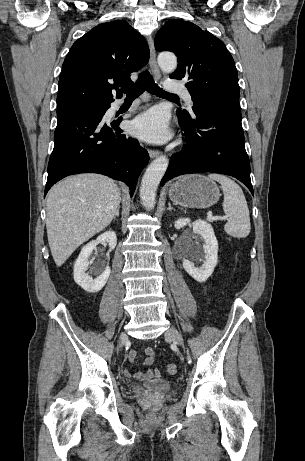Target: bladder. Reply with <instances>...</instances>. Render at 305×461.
Here are the masks:
<instances>
[{
	"mask_svg": "<svg viewBox=\"0 0 305 461\" xmlns=\"http://www.w3.org/2000/svg\"><path fill=\"white\" fill-rule=\"evenodd\" d=\"M142 388L150 392L171 391L173 384L163 379L148 380L142 384Z\"/></svg>",
	"mask_w": 305,
	"mask_h": 461,
	"instance_id": "31cf9c89",
	"label": "bladder"
}]
</instances>
